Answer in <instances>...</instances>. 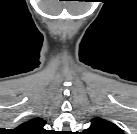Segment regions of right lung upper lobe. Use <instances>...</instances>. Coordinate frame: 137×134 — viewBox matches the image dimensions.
Listing matches in <instances>:
<instances>
[{"label": "right lung upper lobe", "instance_id": "1", "mask_svg": "<svg viewBox=\"0 0 137 134\" xmlns=\"http://www.w3.org/2000/svg\"><path fill=\"white\" fill-rule=\"evenodd\" d=\"M46 124L41 118H33L20 124L15 131L19 134H47L48 131L43 127Z\"/></svg>", "mask_w": 137, "mask_h": 134}]
</instances>
